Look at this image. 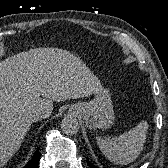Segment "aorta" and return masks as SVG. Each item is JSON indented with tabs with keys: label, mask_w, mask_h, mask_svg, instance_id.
<instances>
[{
	"label": "aorta",
	"mask_w": 168,
	"mask_h": 168,
	"mask_svg": "<svg viewBox=\"0 0 168 168\" xmlns=\"http://www.w3.org/2000/svg\"><path fill=\"white\" fill-rule=\"evenodd\" d=\"M61 129L67 135H74L79 130L78 120L72 116H66L61 122Z\"/></svg>",
	"instance_id": "obj_1"
}]
</instances>
